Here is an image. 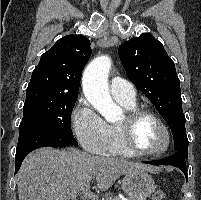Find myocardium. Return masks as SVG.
Instances as JSON below:
<instances>
[{"label":"myocardium","mask_w":201,"mask_h":200,"mask_svg":"<svg viewBox=\"0 0 201 200\" xmlns=\"http://www.w3.org/2000/svg\"><path fill=\"white\" fill-rule=\"evenodd\" d=\"M145 118H150L153 121H155L160 126V128L164 133L165 136L164 145L161 149L157 151H151V152L142 151L135 145L134 142L135 127L141 120ZM118 129L120 132L121 141L124 148L134 156L158 157L165 154L168 151L171 144V134L166 123L157 114L148 110L136 108L134 110L128 111L123 121L118 124Z\"/></svg>","instance_id":"obj_1"}]
</instances>
